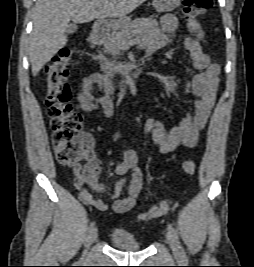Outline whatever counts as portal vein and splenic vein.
<instances>
[{
    "mask_svg": "<svg viewBox=\"0 0 254 267\" xmlns=\"http://www.w3.org/2000/svg\"><path fill=\"white\" fill-rule=\"evenodd\" d=\"M102 7H98V9H101ZM140 42V38L139 37H136L132 40H130L127 44L124 45V48H128L129 46L131 45H134V44H138Z\"/></svg>",
    "mask_w": 254,
    "mask_h": 267,
    "instance_id": "1",
    "label": "portal vein and splenic vein"
}]
</instances>
